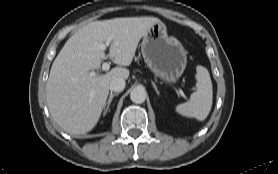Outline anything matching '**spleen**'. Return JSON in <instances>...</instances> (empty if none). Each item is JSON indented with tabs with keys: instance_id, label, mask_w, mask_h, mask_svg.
<instances>
[{
	"instance_id": "1",
	"label": "spleen",
	"mask_w": 278,
	"mask_h": 174,
	"mask_svg": "<svg viewBox=\"0 0 278 174\" xmlns=\"http://www.w3.org/2000/svg\"><path fill=\"white\" fill-rule=\"evenodd\" d=\"M196 80V91L191 94L188 102L179 104L176 111L183 116L203 121L211 110L213 100L212 82L205 67H197Z\"/></svg>"
}]
</instances>
